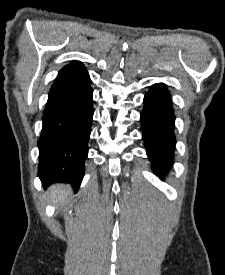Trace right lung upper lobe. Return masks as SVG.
<instances>
[{"label":"right lung upper lobe","instance_id":"cb5924a9","mask_svg":"<svg viewBox=\"0 0 225 275\" xmlns=\"http://www.w3.org/2000/svg\"><path fill=\"white\" fill-rule=\"evenodd\" d=\"M89 75L81 62L72 61L59 71L50 90L76 85L89 80Z\"/></svg>","mask_w":225,"mask_h":275}]
</instances>
